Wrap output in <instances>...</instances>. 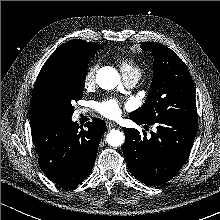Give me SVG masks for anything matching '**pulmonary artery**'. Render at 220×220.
<instances>
[{
    "instance_id": "1",
    "label": "pulmonary artery",
    "mask_w": 220,
    "mask_h": 220,
    "mask_svg": "<svg viewBox=\"0 0 220 220\" xmlns=\"http://www.w3.org/2000/svg\"><path fill=\"white\" fill-rule=\"evenodd\" d=\"M139 77L140 76H138V75L124 76L125 85L128 88H131V87L135 86V84L139 80ZM82 112L85 113V112H87V110L83 109Z\"/></svg>"
}]
</instances>
